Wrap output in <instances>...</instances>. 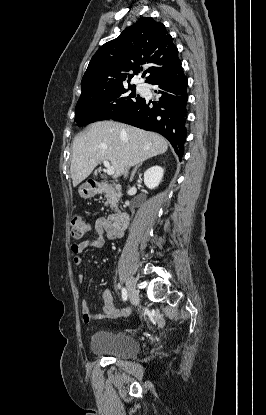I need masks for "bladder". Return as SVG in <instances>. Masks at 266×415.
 <instances>
[{
  "mask_svg": "<svg viewBox=\"0 0 266 415\" xmlns=\"http://www.w3.org/2000/svg\"><path fill=\"white\" fill-rule=\"evenodd\" d=\"M93 354L114 358H132L140 350L138 341L127 333L96 332L90 341Z\"/></svg>",
  "mask_w": 266,
  "mask_h": 415,
  "instance_id": "1",
  "label": "bladder"
}]
</instances>
